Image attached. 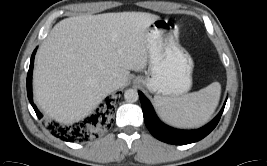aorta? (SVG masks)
Masks as SVG:
<instances>
[{
	"label": "aorta",
	"instance_id": "762f6f07",
	"mask_svg": "<svg viewBox=\"0 0 267 166\" xmlns=\"http://www.w3.org/2000/svg\"><path fill=\"white\" fill-rule=\"evenodd\" d=\"M124 98L127 102L133 103L136 102L139 98L138 92L135 89H128L124 93Z\"/></svg>",
	"mask_w": 267,
	"mask_h": 166
}]
</instances>
